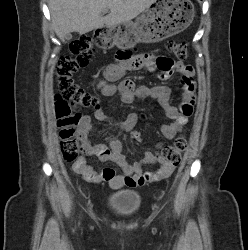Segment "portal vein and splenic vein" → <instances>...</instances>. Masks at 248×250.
<instances>
[{
  "label": "portal vein and splenic vein",
  "instance_id": "portal-vein-and-splenic-vein-1",
  "mask_svg": "<svg viewBox=\"0 0 248 250\" xmlns=\"http://www.w3.org/2000/svg\"><path fill=\"white\" fill-rule=\"evenodd\" d=\"M107 12H108V10H104V11H103V14H106Z\"/></svg>",
  "mask_w": 248,
  "mask_h": 250
}]
</instances>
